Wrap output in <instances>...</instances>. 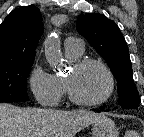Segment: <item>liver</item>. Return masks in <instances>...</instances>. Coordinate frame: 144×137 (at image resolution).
Here are the masks:
<instances>
[{"instance_id":"6515ba94","label":"liver","mask_w":144,"mask_h":137,"mask_svg":"<svg viewBox=\"0 0 144 137\" xmlns=\"http://www.w3.org/2000/svg\"><path fill=\"white\" fill-rule=\"evenodd\" d=\"M103 117L87 110L19 108L0 103V137H74Z\"/></svg>"}]
</instances>
